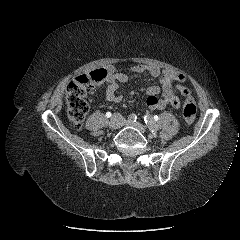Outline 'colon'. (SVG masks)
Returning a JSON list of instances; mask_svg holds the SVG:
<instances>
[{"label":"colon","mask_w":240,"mask_h":240,"mask_svg":"<svg viewBox=\"0 0 240 240\" xmlns=\"http://www.w3.org/2000/svg\"><path fill=\"white\" fill-rule=\"evenodd\" d=\"M105 69H96L75 77L67 87V115L75 129H80L88 113L89 105L86 100L88 91L106 78ZM182 116L186 124H192L196 116V104L191 93L185 96Z\"/></svg>","instance_id":"5ec220e1"}]
</instances>
